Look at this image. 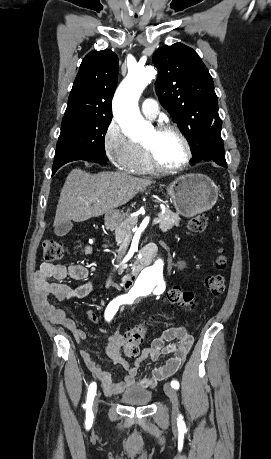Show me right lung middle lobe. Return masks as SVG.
Segmentation results:
<instances>
[{"label":"right lung middle lobe","mask_w":271,"mask_h":459,"mask_svg":"<svg viewBox=\"0 0 271 459\" xmlns=\"http://www.w3.org/2000/svg\"><path fill=\"white\" fill-rule=\"evenodd\" d=\"M112 115L64 114L54 161L73 153H85L108 160L104 135Z\"/></svg>","instance_id":"obj_1"}]
</instances>
